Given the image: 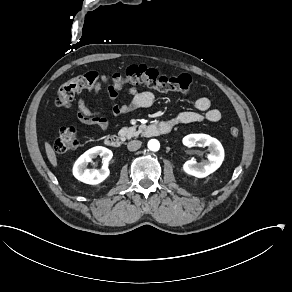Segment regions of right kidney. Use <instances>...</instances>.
Masks as SVG:
<instances>
[{
    "label": "right kidney",
    "instance_id": "1",
    "mask_svg": "<svg viewBox=\"0 0 292 292\" xmlns=\"http://www.w3.org/2000/svg\"><path fill=\"white\" fill-rule=\"evenodd\" d=\"M101 156L104 166L101 169H88L87 166L93 158ZM112 151L105 147H94L82 154L74 163L73 175L79 181L89 184L98 185L105 181L110 171L107 168L108 161L112 158Z\"/></svg>",
    "mask_w": 292,
    "mask_h": 292
}]
</instances>
